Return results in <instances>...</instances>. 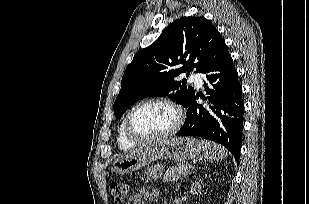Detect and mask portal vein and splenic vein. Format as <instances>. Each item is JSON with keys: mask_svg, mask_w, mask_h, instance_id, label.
Instances as JSON below:
<instances>
[{"mask_svg": "<svg viewBox=\"0 0 309 204\" xmlns=\"http://www.w3.org/2000/svg\"><path fill=\"white\" fill-rule=\"evenodd\" d=\"M189 167H190V168H194V166H193V165H190Z\"/></svg>", "mask_w": 309, "mask_h": 204, "instance_id": "1", "label": "portal vein and splenic vein"}]
</instances>
